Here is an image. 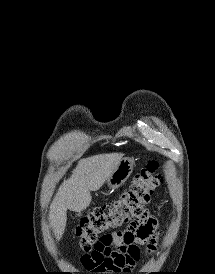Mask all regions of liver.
Masks as SVG:
<instances>
[{"label":"liver","mask_w":215,"mask_h":274,"mask_svg":"<svg viewBox=\"0 0 215 274\" xmlns=\"http://www.w3.org/2000/svg\"><path fill=\"white\" fill-rule=\"evenodd\" d=\"M123 159L121 153L99 154L81 159L72 175L60 185L49 212V222L56 239L64 233L67 210L80 212L92 200L90 191L99 190Z\"/></svg>","instance_id":"6515ba94"}]
</instances>
